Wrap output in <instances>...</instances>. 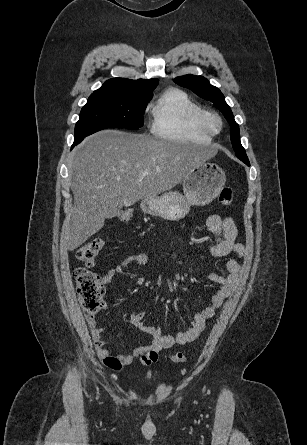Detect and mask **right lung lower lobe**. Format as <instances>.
Returning <instances> with one entry per match:
<instances>
[{"mask_svg":"<svg viewBox=\"0 0 307 445\" xmlns=\"http://www.w3.org/2000/svg\"><path fill=\"white\" fill-rule=\"evenodd\" d=\"M82 140H83V139H75V140H74V143H73V145H72V148H73L74 146H76L77 144H79Z\"/></svg>","mask_w":307,"mask_h":445,"instance_id":"98d812e1","label":"right lung lower lobe"}]
</instances>
